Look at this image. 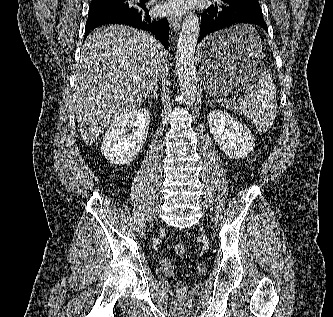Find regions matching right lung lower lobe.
Instances as JSON below:
<instances>
[{"label": "right lung lower lobe", "mask_w": 333, "mask_h": 317, "mask_svg": "<svg viewBox=\"0 0 333 317\" xmlns=\"http://www.w3.org/2000/svg\"><path fill=\"white\" fill-rule=\"evenodd\" d=\"M106 24H123L149 31L156 36L165 48L168 47V21L151 18L145 5L139 4L130 8H105L89 11L84 39L91 30Z\"/></svg>", "instance_id": "right-lung-lower-lobe-1"}]
</instances>
